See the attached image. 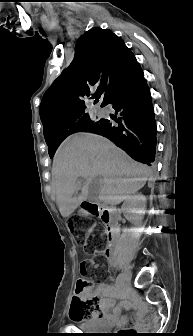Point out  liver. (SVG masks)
I'll use <instances>...</instances> for the list:
<instances>
[{
	"label": "liver",
	"instance_id": "6515ba94",
	"mask_svg": "<svg viewBox=\"0 0 193 336\" xmlns=\"http://www.w3.org/2000/svg\"><path fill=\"white\" fill-rule=\"evenodd\" d=\"M56 202L62 217L70 216L87 200L96 176L99 201L116 205L140 190L151 170L130 158L108 139L91 133L76 134L60 146L53 160ZM81 190L78 196H74Z\"/></svg>",
	"mask_w": 193,
	"mask_h": 336
}]
</instances>
